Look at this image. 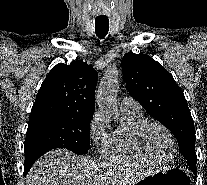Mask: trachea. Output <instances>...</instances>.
Listing matches in <instances>:
<instances>
[{"instance_id":"3493384b","label":"trachea","mask_w":207,"mask_h":185,"mask_svg":"<svg viewBox=\"0 0 207 185\" xmlns=\"http://www.w3.org/2000/svg\"><path fill=\"white\" fill-rule=\"evenodd\" d=\"M109 30L108 19H95V32L99 38H104Z\"/></svg>"}]
</instances>
